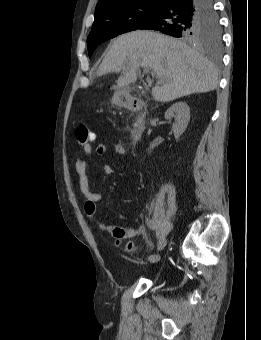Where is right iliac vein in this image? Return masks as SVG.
<instances>
[{"label":"right iliac vein","instance_id":"1","mask_svg":"<svg viewBox=\"0 0 261 340\" xmlns=\"http://www.w3.org/2000/svg\"><path fill=\"white\" fill-rule=\"evenodd\" d=\"M167 245V239L165 237L161 238L157 245V251L161 252Z\"/></svg>","mask_w":261,"mask_h":340}]
</instances>
